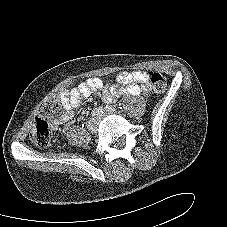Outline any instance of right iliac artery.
<instances>
[{"label":"right iliac artery","mask_w":227,"mask_h":227,"mask_svg":"<svg viewBox=\"0 0 227 227\" xmlns=\"http://www.w3.org/2000/svg\"><path fill=\"white\" fill-rule=\"evenodd\" d=\"M104 112H105V108H103V107H98V108L94 109L92 111V117H93V119L94 118L101 117L104 114Z\"/></svg>","instance_id":"82829eb1"}]
</instances>
